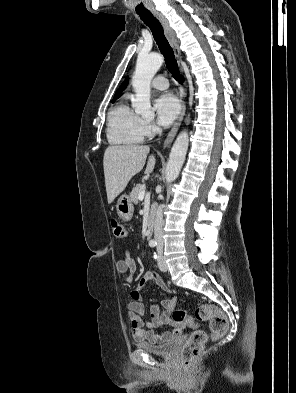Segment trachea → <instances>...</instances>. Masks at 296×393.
<instances>
[{
  "label": "trachea",
  "mask_w": 296,
  "mask_h": 393,
  "mask_svg": "<svg viewBox=\"0 0 296 393\" xmlns=\"http://www.w3.org/2000/svg\"><path fill=\"white\" fill-rule=\"evenodd\" d=\"M143 22L151 29L154 39L163 54L167 69L175 79L179 77V68L174 56V52L170 47L160 22L153 16L150 11L137 13Z\"/></svg>",
  "instance_id": "1"
}]
</instances>
